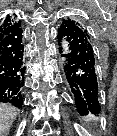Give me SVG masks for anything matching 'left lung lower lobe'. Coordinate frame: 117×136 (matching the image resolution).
I'll return each instance as SVG.
<instances>
[{
  "label": "left lung lower lobe",
  "instance_id": "0a47b994",
  "mask_svg": "<svg viewBox=\"0 0 117 136\" xmlns=\"http://www.w3.org/2000/svg\"><path fill=\"white\" fill-rule=\"evenodd\" d=\"M58 40L64 47V70L67 85L75 100L78 112L83 116L101 111L96 69V55L90 35L80 27L62 20L58 28ZM61 45V43H60Z\"/></svg>",
  "mask_w": 117,
  "mask_h": 136
}]
</instances>
